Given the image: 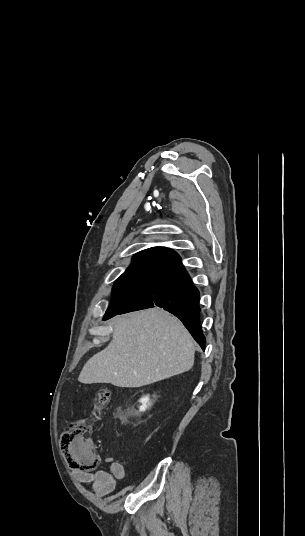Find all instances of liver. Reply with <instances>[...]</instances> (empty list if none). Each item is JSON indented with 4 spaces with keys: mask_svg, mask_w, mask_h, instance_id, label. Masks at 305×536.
<instances>
[{
    "mask_svg": "<svg viewBox=\"0 0 305 536\" xmlns=\"http://www.w3.org/2000/svg\"><path fill=\"white\" fill-rule=\"evenodd\" d=\"M112 340L84 364L81 384L140 388L193 368L195 346L182 322L160 308H150L109 322Z\"/></svg>",
    "mask_w": 305,
    "mask_h": 536,
    "instance_id": "6515ba94",
    "label": "liver"
}]
</instances>
